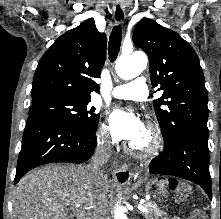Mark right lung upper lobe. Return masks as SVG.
Wrapping results in <instances>:
<instances>
[{
	"mask_svg": "<svg viewBox=\"0 0 221 219\" xmlns=\"http://www.w3.org/2000/svg\"><path fill=\"white\" fill-rule=\"evenodd\" d=\"M107 39L93 19L61 35L40 59L32 102L47 98L90 99L106 58Z\"/></svg>",
	"mask_w": 221,
	"mask_h": 219,
	"instance_id": "right-lung-upper-lobe-1",
	"label": "right lung upper lobe"
}]
</instances>
